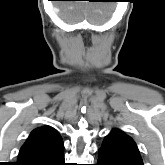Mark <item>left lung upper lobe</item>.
<instances>
[{"instance_id": "1", "label": "left lung upper lobe", "mask_w": 165, "mask_h": 165, "mask_svg": "<svg viewBox=\"0 0 165 165\" xmlns=\"http://www.w3.org/2000/svg\"><path fill=\"white\" fill-rule=\"evenodd\" d=\"M99 150L118 165H143L135 142L121 130H112Z\"/></svg>"}]
</instances>
